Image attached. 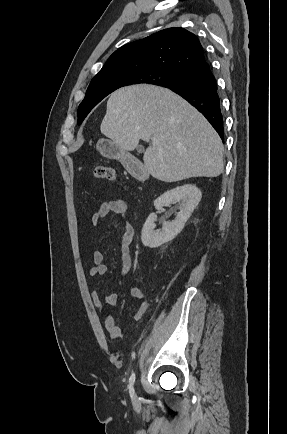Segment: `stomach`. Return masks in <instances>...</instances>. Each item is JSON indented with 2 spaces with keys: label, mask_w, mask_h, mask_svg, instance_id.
Returning a JSON list of instances; mask_svg holds the SVG:
<instances>
[{
  "label": "stomach",
  "mask_w": 287,
  "mask_h": 434,
  "mask_svg": "<svg viewBox=\"0 0 287 434\" xmlns=\"http://www.w3.org/2000/svg\"><path fill=\"white\" fill-rule=\"evenodd\" d=\"M97 149L104 157L119 160L124 165H128L131 158V155L126 150L110 140H99L97 143Z\"/></svg>",
  "instance_id": "0dacf381"
}]
</instances>
